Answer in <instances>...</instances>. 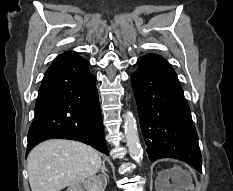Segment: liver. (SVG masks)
Returning a JSON list of instances; mask_svg holds the SVG:
<instances>
[{
	"instance_id": "obj_1",
	"label": "liver",
	"mask_w": 233,
	"mask_h": 191,
	"mask_svg": "<svg viewBox=\"0 0 233 191\" xmlns=\"http://www.w3.org/2000/svg\"><path fill=\"white\" fill-rule=\"evenodd\" d=\"M101 157L81 142L51 139L37 145L28 156L32 191H60L93 176L101 168Z\"/></svg>"
}]
</instances>
